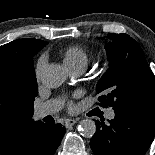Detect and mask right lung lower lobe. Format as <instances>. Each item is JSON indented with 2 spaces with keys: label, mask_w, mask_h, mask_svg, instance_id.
<instances>
[{
  "label": "right lung lower lobe",
  "mask_w": 155,
  "mask_h": 155,
  "mask_svg": "<svg viewBox=\"0 0 155 155\" xmlns=\"http://www.w3.org/2000/svg\"><path fill=\"white\" fill-rule=\"evenodd\" d=\"M64 133L65 128L61 124L38 121L16 140L9 155H53Z\"/></svg>",
  "instance_id": "98d812e1"
}]
</instances>
